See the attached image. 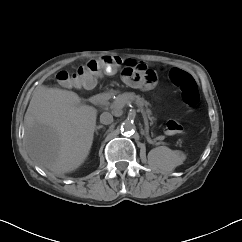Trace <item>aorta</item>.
<instances>
[{
	"instance_id": "762f6f07",
	"label": "aorta",
	"mask_w": 242,
	"mask_h": 242,
	"mask_svg": "<svg viewBox=\"0 0 242 242\" xmlns=\"http://www.w3.org/2000/svg\"><path fill=\"white\" fill-rule=\"evenodd\" d=\"M136 129L135 124L130 120H125L121 126V130L126 133L134 132Z\"/></svg>"
}]
</instances>
